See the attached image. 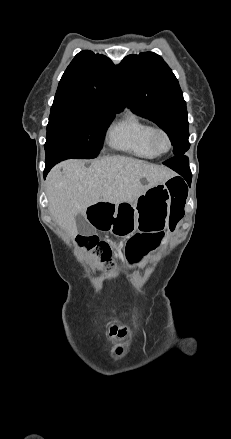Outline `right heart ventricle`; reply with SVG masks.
Wrapping results in <instances>:
<instances>
[{"mask_svg": "<svg viewBox=\"0 0 231 439\" xmlns=\"http://www.w3.org/2000/svg\"><path fill=\"white\" fill-rule=\"evenodd\" d=\"M153 126L133 112L127 113L110 130L112 148L143 159H154L158 154L150 144Z\"/></svg>", "mask_w": 231, "mask_h": 439, "instance_id": "e07e8e85", "label": "right heart ventricle"}]
</instances>
